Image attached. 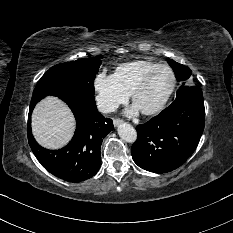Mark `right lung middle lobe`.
Masks as SVG:
<instances>
[{
  "mask_svg": "<svg viewBox=\"0 0 233 233\" xmlns=\"http://www.w3.org/2000/svg\"><path fill=\"white\" fill-rule=\"evenodd\" d=\"M100 65L99 59L91 57L51 67L37 83L32 100L47 95L94 100L93 82Z\"/></svg>",
  "mask_w": 233,
  "mask_h": 233,
  "instance_id": "dd1d6c3e",
  "label": "right lung middle lobe"
}]
</instances>
